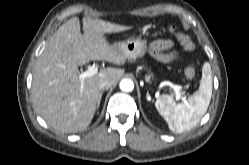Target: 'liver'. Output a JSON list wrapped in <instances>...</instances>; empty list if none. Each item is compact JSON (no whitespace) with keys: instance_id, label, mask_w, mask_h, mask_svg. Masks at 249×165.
Listing matches in <instances>:
<instances>
[{"instance_id":"6515ba94","label":"liver","mask_w":249,"mask_h":165,"mask_svg":"<svg viewBox=\"0 0 249 165\" xmlns=\"http://www.w3.org/2000/svg\"><path fill=\"white\" fill-rule=\"evenodd\" d=\"M131 29L100 19L83 18L81 34L77 17L69 19L51 36L33 71L32 99L35 110L55 130L76 133L86 129L100 98L99 83L117 84L124 70L105 68L85 78L83 89L78 66L91 60L124 65L130 57L110 45L104 34Z\"/></svg>"}]
</instances>
